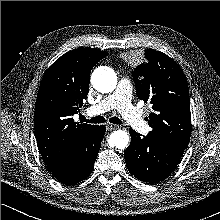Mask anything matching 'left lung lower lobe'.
Returning a JSON list of instances; mask_svg holds the SVG:
<instances>
[{"instance_id":"1","label":"left lung lower lobe","mask_w":220,"mask_h":220,"mask_svg":"<svg viewBox=\"0 0 220 220\" xmlns=\"http://www.w3.org/2000/svg\"><path fill=\"white\" fill-rule=\"evenodd\" d=\"M131 143L124 152L126 166L137 179L151 184L167 178L178 165L185 149L148 134L141 137L129 129Z\"/></svg>"}]
</instances>
